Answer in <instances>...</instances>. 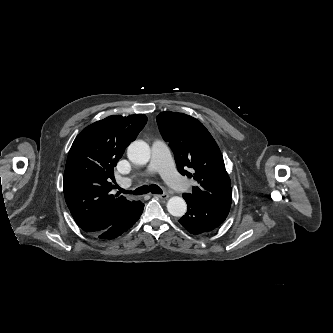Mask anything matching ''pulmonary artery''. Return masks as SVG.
<instances>
[{"label": "pulmonary artery", "instance_id": "1", "mask_svg": "<svg viewBox=\"0 0 333 333\" xmlns=\"http://www.w3.org/2000/svg\"><path fill=\"white\" fill-rule=\"evenodd\" d=\"M146 172L160 173L170 186L178 190L184 191L188 188V183L175 170L168 145L162 139H157L152 144V158Z\"/></svg>", "mask_w": 333, "mask_h": 333}]
</instances>
